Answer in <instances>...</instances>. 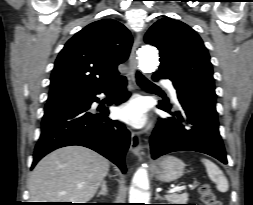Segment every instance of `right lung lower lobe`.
Masks as SVG:
<instances>
[{
  "instance_id": "right-lung-lower-lobe-1",
  "label": "right lung lower lobe",
  "mask_w": 253,
  "mask_h": 205,
  "mask_svg": "<svg viewBox=\"0 0 253 205\" xmlns=\"http://www.w3.org/2000/svg\"><path fill=\"white\" fill-rule=\"evenodd\" d=\"M126 78L121 77L108 87L79 98L47 103L44 109L40 139L35 147L32 168L49 152L64 146L80 145L105 156L125 173L124 157L130 145V132L118 122L108 119V110L90 112L100 93L116 89L110 103L125 102L129 94L125 90Z\"/></svg>"
}]
</instances>
